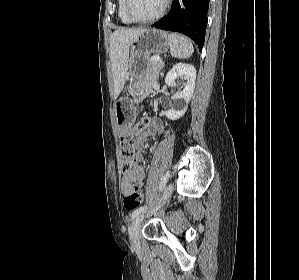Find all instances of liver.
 Instances as JSON below:
<instances>
[{"label": "liver", "instance_id": "6515ba94", "mask_svg": "<svg viewBox=\"0 0 299 280\" xmlns=\"http://www.w3.org/2000/svg\"><path fill=\"white\" fill-rule=\"evenodd\" d=\"M146 29H118L110 37V61L114 81V99L126 82L130 44Z\"/></svg>", "mask_w": 299, "mask_h": 280}]
</instances>
